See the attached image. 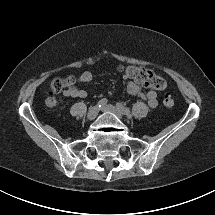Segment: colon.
<instances>
[{
  "instance_id": "1",
  "label": "colon",
  "mask_w": 215,
  "mask_h": 215,
  "mask_svg": "<svg viewBox=\"0 0 215 215\" xmlns=\"http://www.w3.org/2000/svg\"><path fill=\"white\" fill-rule=\"evenodd\" d=\"M120 72L127 78L135 80L145 87L156 90H163L166 88V81L163 77L156 74L154 71L142 68L135 65L121 66ZM75 78L72 76L65 78H55L50 85V92L45 99V104L48 108H56L60 103V92L65 88H70L74 85ZM163 104L166 107L174 106V99L170 93L166 92L163 96Z\"/></svg>"
}]
</instances>
